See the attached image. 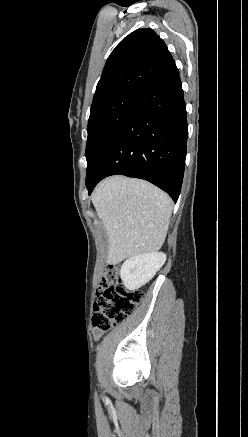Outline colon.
I'll return each instance as SVG.
<instances>
[{"label":"colon","mask_w":248,"mask_h":437,"mask_svg":"<svg viewBox=\"0 0 248 437\" xmlns=\"http://www.w3.org/2000/svg\"><path fill=\"white\" fill-rule=\"evenodd\" d=\"M144 296L143 291H129L123 283L117 265L111 264L104 272L96 293L93 325L107 330L131 315Z\"/></svg>","instance_id":"colon-1"}]
</instances>
